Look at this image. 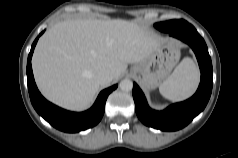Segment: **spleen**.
I'll list each match as a JSON object with an SVG mask.
<instances>
[{
    "instance_id": "1",
    "label": "spleen",
    "mask_w": 238,
    "mask_h": 158,
    "mask_svg": "<svg viewBox=\"0 0 238 158\" xmlns=\"http://www.w3.org/2000/svg\"><path fill=\"white\" fill-rule=\"evenodd\" d=\"M199 71L191 58H184L173 73L159 86L163 97L171 101H181L190 97L197 88Z\"/></svg>"
}]
</instances>
